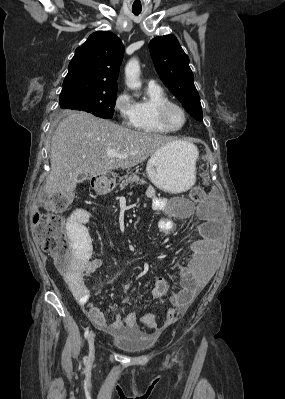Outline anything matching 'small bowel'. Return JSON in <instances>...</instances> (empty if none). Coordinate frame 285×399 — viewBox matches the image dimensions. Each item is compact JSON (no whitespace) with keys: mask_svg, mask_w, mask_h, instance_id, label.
Here are the masks:
<instances>
[{"mask_svg":"<svg viewBox=\"0 0 285 399\" xmlns=\"http://www.w3.org/2000/svg\"><path fill=\"white\" fill-rule=\"evenodd\" d=\"M146 196L151 200L155 209L167 214L157 224L158 229L164 235L175 233L177 228L175 218H189L194 214V211L182 212V198H176L168 203L165 199L156 197L155 191L150 188L147 189ZM196 214L203 218L205 223H211L208 209H200L196 211ZM86 218L85 214L76 213L71 215L66 222L67 235L75 251V265L81 271L79 278L71 276L67 278V283L76 299L85 305L86 314L98 329L111 335L125 334V329L136 332L138 329L136 313L130 312L124 317L116 316L109 321L104 313L89 300L90 293L84 283L83 276H89L99 268L102 265V260L92 257L83 259L78 252V246L82 239L80 221L85 223ZM209 232L210 229L207 228L201 230L200 237L189 248L190 261L186 266L179 267L181 289L170 295V302L180 314H184L193 299L205 287L217 262V247L209 237ZM168 286L169 283L165 276H157L153 284L152 297L159 299L165 296L168 292ZM176 320L167 318L164 326H169ZM149 329L156 334L163 327L157 326Z\"/></svg>","mask_w":285,"mask_h":399,"instance_id":"1","label":"small bowel"}]
</instances>
